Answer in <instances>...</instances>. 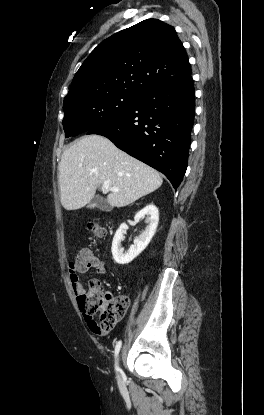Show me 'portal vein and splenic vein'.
<instances>
[{"label": "portal vein and splenic vein", "instance_id": "1", "mask_svg": "<svg viewBox=\"0 0 264 415\" xmlns=\"http://www.w3.org/2000/svg\"><path fill=\"white\" fill-rule=\"evenodd\" d=\"M102 189L104 191H108V190L113 191V192H118L119 191V189L117 187H111L108 181H105L102 184Z\"/></svg>", "mask_w": 264, "mask_h": 415}]
</instances>
